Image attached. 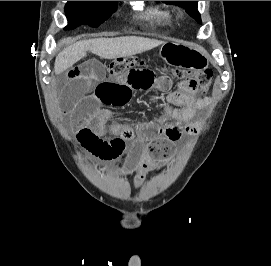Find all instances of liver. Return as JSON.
Wrapping results in <instances>:
<instances>
[{
  "label": "liver",
  "mask_w": 271,
  "mask_h": 266,
  "mask_svg": "<svg viewBox=\"0 0 271 266\" xmlns=\"http://www.w3.org/2000/svg\"><path fill=\"white\" fill-rule=\"evenodd\" d=\"M162 44L164 42L160 40L136 36L83 40L58 54L54 65L55 74L62 73L61 67H72L86 56L87 51L103 59H116L139 54Z\"/></svg>",
  "instance_id": "obj_1"
}]
</instances>
